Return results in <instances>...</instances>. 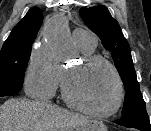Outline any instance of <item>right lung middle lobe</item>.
<instances>
[{
    "mask_svg": "<svg viewBox=\"0 0 151 131\" xmlns=\"http://www.w3.org/2000/svg\"><path fill=\"white\" fill-rule=\"evenodd\" d=\"M31 45L2 47L0 51V97L14 96L22 88Z\"/></svg>",
    "mask_w": 151,
    "mask_h": 131,
    "instance_id": "dd1d6c3e",
    "label": "right lung middle lobe"
}]
</instances>
